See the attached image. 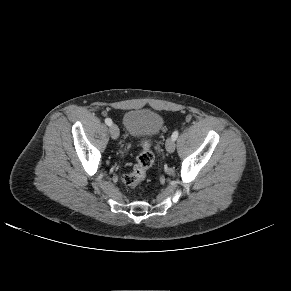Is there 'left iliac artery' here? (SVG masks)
Here are the masks:
<instances>
[{
    "label": "left iliac artery",
    "instance_id": "left-iliac-artery-1",
    "mask_svg": "<svg viewBox=\"0 0 291 291\" xmlns=\"http://www.w3.org/2000/svg\"><path fill=\"white\" fill-rule=\"evenodd\" d=\"M178 135H179V132L176 130V131L173 132L171 137H172L173 140H176L178 138Z\"/></svg>",
    "mask_w": 291,
    "mask_h": 291
}]
</instances>
